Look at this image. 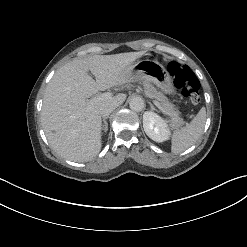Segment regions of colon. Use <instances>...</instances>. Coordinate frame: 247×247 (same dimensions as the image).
Masks as SVG:
<instances>
[{"mask_svg":"<svg viewBox=\"0 0 247 247\" xmlns=\"http://www.w3.org/2000/svg\"><path fill=\"white\" fill-rule=\"evenodd\" d=\"M167 70L174 85L179 88L192 103L200 101V82L190 67L176 61L167 63Z\"/></svg>","mask_w":247,"mask_h":247,"instance_id":"5ec220e1","label":"colon"}]
</instances>
